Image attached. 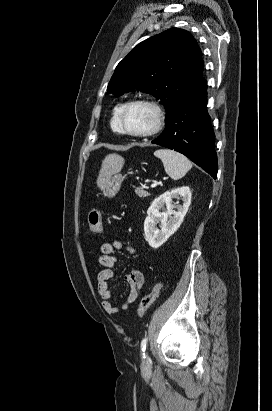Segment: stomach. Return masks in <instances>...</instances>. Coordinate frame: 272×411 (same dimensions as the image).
Segmentation results:
<instances>
[{
    "mask_svg": "<svg viewBox=\"0 0 272 411\" xmlns=\"http://www.w3.org/2000/svg\"><path fill=\"white\" fill-rule=\"evenodd\" d=\"M124 178L125 176L118 172L111 176L104 185V195L108 198H113L119 192Z\"/></svg>",
    "mask_w": 272,
    "mask_h": 411,
    "instance_id": "stomach-1",
    "label": "stomach"
}]
</instances>
